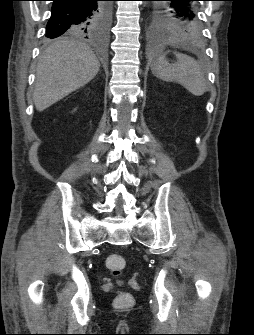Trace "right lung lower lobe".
<instances>
[{
	"label": "right lung lower lobe",
	"mask_w": 254,
	"mask_h": 335,
	"mask_svg": "<svg viewBox=\"0 0 254 335\" xmlns=\"http://www.w3.org/2000/svg\"><path fill=\"white\" fill-rule=\"evenodd\" d=\"M51 17L46 26V37L56 38L64 33L82 31L90 33V27L99 18L101 0H52Z\"/></svg>",
	"instance_id": "obj_1"
}]
</instances>
